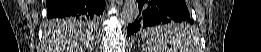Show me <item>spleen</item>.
<instances>
[{
    "label": "spleen",
    "mask_w": 261,
    "mask_h": 52,
    "mask_svg": "<svg viewBox=\"0 0 261 52\" xmlns=\"http://www.w3.org/2000/svg\"><path fill=\"white\" fill-rule=\"evenodd\" d=\"M185 29L184 24H168L145 31L144 50L146 52H192L194 41L190 36V30L189 34H183Z\"/></svg>",
    "instance_id": "spleen-1"
}]
</instances>
